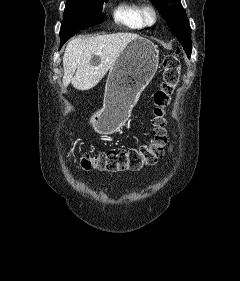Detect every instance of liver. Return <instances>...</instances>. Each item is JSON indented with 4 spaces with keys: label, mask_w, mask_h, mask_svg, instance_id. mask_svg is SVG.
Wrapping results in <instances>:
<instances>
[{
    "label": "liver",
    "mask_w": 240,
    "mask_h": 281,
    "mask_svg": "<svg viewBox=\"0 0 240 281\" xmlns=\"http://www.w3.org/2000/svg\"><path fill=\"white\" fill-rule=\"evenodd\" d=\"M138 37L134 33H113L71 39L63 55V86L72 83L81 91L92 89L114 66L125 46ZM94 57L99 58L98 65L92 64Z\"/></svg>",
    "instance_id": "liver-1"
}]
</instances>
